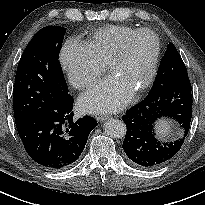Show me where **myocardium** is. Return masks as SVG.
I'll list each match as a JSON object with an SVG mask.
<instances>
[{
	"instance_id": "f54148a6",
	"label": "myocardium",
	"mask_w": 205,
	"mask_h": 205,
	"mask_svg": "<svg viewBox=\"0 0 205 205\" xmlns=\"http://www.w3.org/2000/svg\"><path fill=\"white\" fill-rule=\"evenodd\" d=\"M142 34H148L154 38V40H155V53H154V56H153V59L151 62L149 73H148L145 81L137 89L134 90L135 94L141 93L144 90H146L148 87L151 86V84L153 83V81L155 79V76H156V73L158 70L159 61H160V56H161V41H160V38L158 37V35L154 31H152L151 29H147V28H141V29L135 30L134 32L130 33L129 35H127L124 38L119 49L111 57V59L109 60V62L107 64V69L110 72H112V69L114 68V66L126 57L130 43L136 37H138Z\"/></svg>"
}]
</instances>
